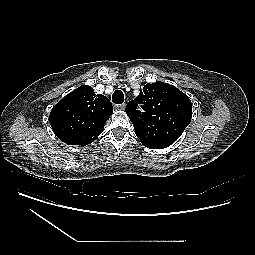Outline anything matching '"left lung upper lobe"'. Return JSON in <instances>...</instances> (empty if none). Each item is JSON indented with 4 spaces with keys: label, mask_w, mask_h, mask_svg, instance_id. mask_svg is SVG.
<instances>
[{
    "label": "left lung upper lobe",
    "mask_w": 255,
    "mask_h": 255,
    "mask_svg": "<svg viewBox=\"0 0 255 255\" xmlns=\"http://www.w3.org/2000/svg\"><path fill=\"white\" fill-rule=\"evenodd\" d=\"M138 104H143V112L137 110ZM126 113L144 145L174 143L191 121L192 103L173 85L157 81L143 87L126 106Z\"/></svg>",
    "instance_id": "1"
}]
</instances>
